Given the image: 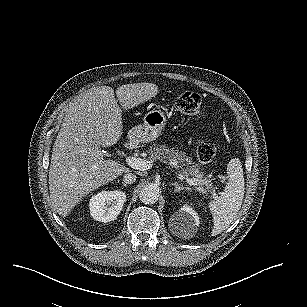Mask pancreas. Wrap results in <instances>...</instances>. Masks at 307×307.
Here are the masks:
<instances>
[{
	"label": "pancreas",
	"instance_id": "pancreas-1",
	"mask_svg": "<svg viewBox=\"0 0 307 307\" xmlns=\"http://www.w3.org/2000/svg\"><path fill=\"white\" fill-rule=\"evenodd\" d=\"M150 159L154 162L160 161L169 163L172 168H175L180 174L184 176H191L198 186L202 187L206 193H214L212 179L205 177L204 172H201L198 165H191L186 163L185 155L179 150L169 148L167 145L153 144L147 150ZM175 163V164H174Z\"/></svg>",
	"mask_w": 307,
	"mask_h": 307
}]
</instances>
